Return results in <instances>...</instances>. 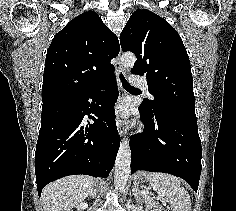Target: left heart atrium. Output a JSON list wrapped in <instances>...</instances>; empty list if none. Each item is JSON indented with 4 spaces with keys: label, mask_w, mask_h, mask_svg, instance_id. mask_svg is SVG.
Segmentation results:
<instances>
[{
    "label": "left heart atrium",
    "mask_w": 236,
    "mask_h": 211,
    "mask_svg": "<svg viewBox=\"0 0 236 211\" xmlns=\"http://www.w3.org/2000/svg\"><path fill=\"white\" fill-rule=\"evenodd\" d=\"M117 113L119 115H122V116H126L128 114V109L127 107L123 104V105H120L118 108H117Z\"/></svg>",
    "instance_id": "left-heart-atrium-1"
}]
</instances>
